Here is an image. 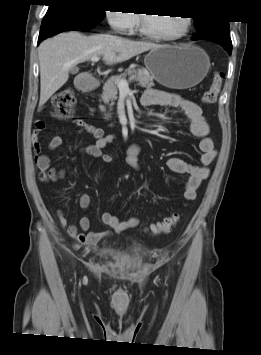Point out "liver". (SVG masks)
Masks as SVG:
<instances>
[{
  "mask_svg": "<svg viewBox=\"0 0 261 355\" xmlns=\"http://www.w3.org/2000/svg\"><path fill=\"white\" fill-rule=\"evenodd\" d=\"M158 47L161 45L108 34L87 37L76 31L61 33L43 41L38 48L39 107L68 81L69 71L77 64L101 56L107 65H113Z\"/></svg>",
  "mask_w": 261,
  "mask_h": 355,
  "instance_id": "obj_1",
  "label": "liver"
}]
</instances>
